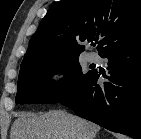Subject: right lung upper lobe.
<instances>
[{"label": "right lung upper lobe", "mask_w": 141, "mask_h": 139, "mask_svg": "<svg viewBox=\"0 0 141 139\" xmlns=\"http://www.w3.org/2000/svg\"><path fill=\"white\" fill-rule=\"evenodd\" d=\"M99 37V55L141 39V0H61L33 35L21 69L78 58Z\"/></svg>", "instance_id": "cb5924a9"}]
</instances>
